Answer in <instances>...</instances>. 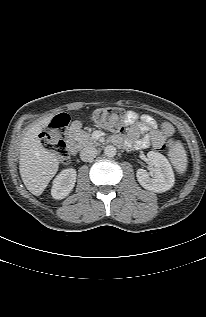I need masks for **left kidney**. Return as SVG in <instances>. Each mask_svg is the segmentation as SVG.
I'll return each instance as SVG.
<instances>
[{
    "mask_svg": "<svg viewBox=\"0 0 206 317\" xmlns=\"http://www.w3.org/2000/svg\"><path fill=\"white\" fill-rule=\"evenodd\" d=\"M147 160L154 169L151 174L144 169L137 170L136 177L140 185L147 190L158 193L172 188L175 178L167 158L161 153L150 151L147 154Z\"/></svg>",
    "mask_w": 206,
    "mask_h": 317,
    "instance_id": "left-kidney-1",
    "label": "left kidney"
}]
</instances>
